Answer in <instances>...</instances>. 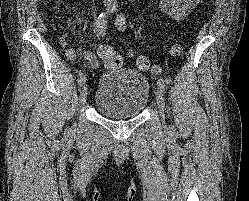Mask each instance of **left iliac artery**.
<instances>
[{
    "label": "left iliac artery",
    "mask_w": 249,
    "mask_h": 201,
    "mask_svg": "<svg viewBox=\"0 0 249 201\" xmlns=\"http://www.w3.org/2000/svg\"><path fill=\"white\" fill-rule=\"evenodd\" d=\"M115 24L117 26V28L120 31H124L126 29V18H125V14L121 13L117 16ZM158 87L164 92L166 89V85L163 79H159L157 81ZM174 130V129H173Z\"/></svg>",
    "instance_id": "1"
}]
</instances>
